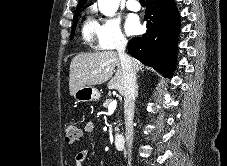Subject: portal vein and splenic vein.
I'll use <instances>...</instances> for the list:
<instances>
[{"instance_id": "1", "label": "portal vein and splenic vein", "mask_w": 227, "mask_h": 166, "mask_svg": "<svg viewBox=\"0 0 227 166\" xmlns=\"http://www.w3.org/2000/svg\"><path fill=\"white\" fill-rule=\"evenodd\" d=\"M116 107H117V101H116V100H113V101L109 104L108 110H109V111H114V110L116 109Z\"/></svg>"}]
</instances>
